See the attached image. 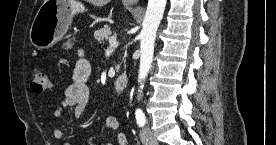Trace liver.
I'll return each instance as SVG.
<instances>
[{"label": "liver", "instance_id": "liver-1", "mask_svg": "<svg viewBox=\"0 0 276 145\" xmlns=\"http://www.w3.org/2000/svg\"><path fill=\"white\" fill-rule=\"evenodd\" d=\"M110 0H87L90 4L97 6V7H102L109 3Z\"/></svg>", "mask_w": 276, "mask_h": 145}]
</instances>
